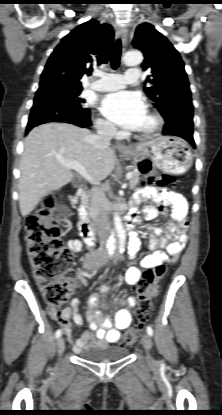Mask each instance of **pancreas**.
I'll list each match as a JSON object with an SVG mask.
<instances>
[{
    "instance_id": "obj_1",
    "label": "pancreas",
    "mask_w": 222,
    "mask_h": 415,
    "mask_svg": "<svg viewBox=\"0 0 222 415\" xmlns=\"http://www.w3.org/2000/svg\"><path fill=\"white\" fill-rule=\"evenodd\" d=\"M140 174L141 173L138 170L132 172V177L129 181L130 189H134L139 184Z\"/></svg>"
}]
</instances>
